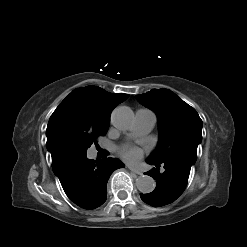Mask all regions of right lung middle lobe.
Instances as JSON below:
<instances>
[{
	"instance_id": "dd1d6c3e",
	"label": "right lung middle lobe",
	"mask_w": 247,
	"mask_h": 247,
	"mask_svg": "<svg viewBox=\"0 0 247 247\" xmlns=\"http://www.w3.org/2000/svg\"><path fill=\"white\" fill-rule=\"evenodd\" d=\"M109 125H94L65 120L58 129V144L66 155L86 156L87 149L97 144L96 138L107 133Z\"/></svg>"
}]
</instances>
